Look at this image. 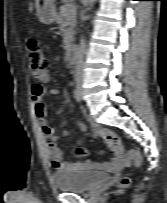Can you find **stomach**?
Masks as SVG:
<instances>
[{
    "label": "stomach",
    "instance_id": "1",
    "mask_svg": "<svg viewBox=\"0 0 167 203\" xmlns=\"http://www.w3.org/2000/svg\"><path fill=\"white\" fill-rule=\"evenodd\" d=\"M36 12L39 20L44 24H51L56 19L54 0H40L35 2Z\"/></svg>",
    "mask_w": 167,
    "mask_h": 203
}]
</instances>
